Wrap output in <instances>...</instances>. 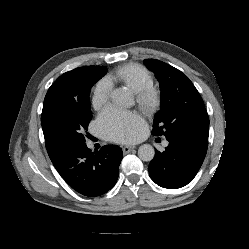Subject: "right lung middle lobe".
<instances>
[{"instance_id": "right-lung-middle-lobe-1", "label": "right lung middle lobe", "mask_w": 249, "mask_h": 249, "mask_svg": "<svg viewBox=\"0 0 249 249\" xmlns=\"http://www.w3.org/2000/svg\"><path fill=\"white\" fill-rule=\"evenodd\" d=\"M106 72L104 66H87L72 94L41 120L44 136L52 147L85 143L84 131L92 119L90 89Z\"/></svg>"}]
</instances>
